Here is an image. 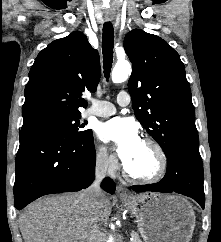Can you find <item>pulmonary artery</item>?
I'll use <instances>...</instances> for the list:
<instances>
[{"label":"pulmonary artery","mask_w":221,"mask_h":242,"mask_svg":"<svg viewBox=\"0 0 221 242\" xmlns=\"http://www.w3.org/2000/svg\"><path fill=\"white\" fill-rule=\"evenodd\" d=\"M117 103L120 106H127L130 103V96L127 92H120L117 95ZM115 106L107 101L92 100V105L86 111V116L108 117L115 114Z\"/></svg>","instance_id":"1"}]
</instances>
